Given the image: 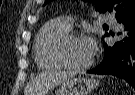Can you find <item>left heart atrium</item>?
Segmentation results:
<instances>
[{"mask_svg":"<svg viewBox=\"0 0 135 95\" xmlns=\"http://www.w3.org/2000/svg\"><path fill=\"white\" fill-rule=\"evenodd\" d=\"M83 40L89 56L92 57L96 50V44L94 39L91 37H87V38H83Z\"/></svg>","mask_w":135,"mask_h":95,"instance_id":"obj_1","label":"left heart atrium"}]
</instances>
